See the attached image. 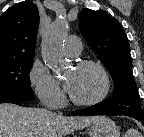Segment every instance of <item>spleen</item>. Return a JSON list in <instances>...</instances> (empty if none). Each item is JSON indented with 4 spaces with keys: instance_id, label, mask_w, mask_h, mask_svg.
Returning <instances> with one entry per match:
<instances>
[{
    "instance_id": "obj_1",
    "label": "spleen",
    "mask_w": 144,
    "mask_h": 137,
    "mask_svg": "<svg viewBox=\"0 0 144 137\" xmlns=\"http://www.w3.org/2000/svg\"><path fill=\"white\" fill-rule=\"evenodd\" d=\"M126 137H142L141 134L135 129H129Z\"/></svg>"
}]
</instances>
